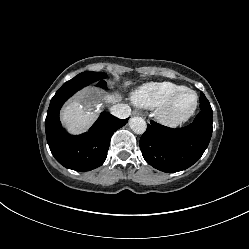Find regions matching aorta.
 <instances>
[{"label": "aorta", "instance_id": "aorta-1", "mask_svg": "<svg viewBox=\"0 0 249 249\" xmlns=\"http://www.w3.org/2000/svg\"><path fill=\"white\" fill-rule=\"evenodd\" d=\"M129 126L131 130L137 134H143L147 128L145 120L141 117H132L129 120Z\"/></svg>", "mask_w": 249, "mask_h": 249}]
</instances>
